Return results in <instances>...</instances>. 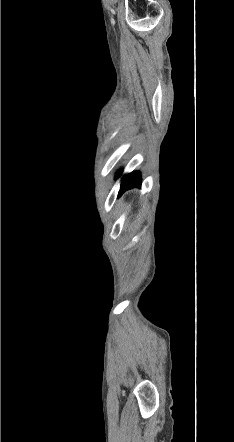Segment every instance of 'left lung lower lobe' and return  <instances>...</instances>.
Wrapping results in <instances>:
<instances>
[{
    "label": "left lung lower lobe",
    "instance_id": "left-lung-lower-lobe-1",
    "mask_svg": "<svg viewBox=\"0 0 234 442\" xmlns=\"http://www.w3.org/2000/svg\"><path fill=\"white\" fill-rule=\"evenodd\" d=\"M139 186H141L140 174L138 172H132L124 177L119 191V195L123 194L128 189Z\"/></svg>",
    "mask_w": 234,
    "mask_h": 442
}]
</instances>
